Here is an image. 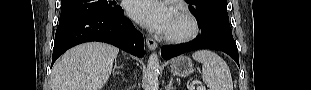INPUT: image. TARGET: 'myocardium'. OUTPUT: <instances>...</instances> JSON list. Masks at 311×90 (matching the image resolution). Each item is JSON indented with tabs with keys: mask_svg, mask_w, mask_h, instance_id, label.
<instances>
[{
	"mask_svg": "<svg viewBox=\"0 0 311 90\" xmlns=\"http://www.w3.org/2000/svg\"><path fill=\"white\" fill-rule=\"evenodd\" d=\"M176 14L185 25L184 30L174 33H165L164 38L172 43H184L194 39L199 32L196 18L185 8L176 9Z\"/></svg>",
	"mask_w": 311,
	"mask_h": 90,
	"instance_id": "myocardium-1",
	"label": "myocardium"
}]
</instances>
